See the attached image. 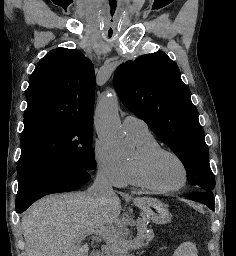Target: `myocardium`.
<instances>
[{
    "label": "myocardium",
    "instance_id": "myocardium-1",
    "mask_svg": "<svg viewBox=\"0 0 236 256\" xmlns=\"http://www.w3.org/2000/svg\"><path fill=\"white\" fill-rule=\"evenodd\" d=\"M161 154H169L173 156L182 165L184 170V178L179 185L175 187H163L156 184L153 181L150 173V166L152 161ZM132 164H133L135 175L139 184L142 187L149 189L151 191L161 192V193L174 192L181 189L183 186H185V184L189 179V170L183 158L175 151L164 148V147L158 146V147L147 149L144 151H137L135 157L132 160Z\"/></svg>",
    "mask_w": 236,
    "mask_h": 256
}]
</instances>
